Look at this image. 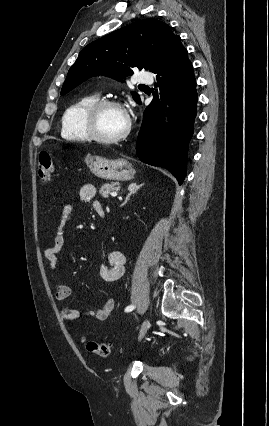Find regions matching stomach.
I'll return each instance as SVG.
<instances>
[{
	"label": "stomach",
	"mask_w": 269,
	"mask_h": 426,
	"mask_svg": "<svg viewBox=\"0 0 269 426\" xmlns=\"http://www.w3.org/2000/svg\"><path fill=\"white\" fill-rule=\"evenodd\" d=\"M85 162L95 176L106 180L128 181L136 173L132 164L124 158L109 160L88 154Z\"/></svg>",
	"instance_id": "obj_1"
}]
</instances>
